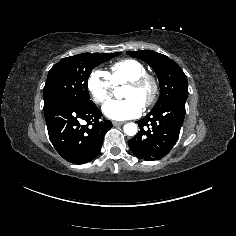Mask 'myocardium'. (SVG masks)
<instances>
[{"instance_id": "1", "label": "myocardium", "mask_w": 236, "mask_h": 236, "mask_svg": "<svg viewBox=\"0 0 236 236\" xmlns=\"http://www.w3.org/2000/svg\"><path fill=\"white\" fill-rule=\"evenodd\" d=\"M147 85L149 88L148 96L143 104L144 108L151 106L157 97L159 88L156 78L148 73H142L126 83V87H142Z\"/></svg>"}]
</instances>
